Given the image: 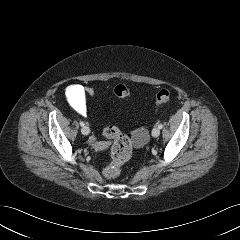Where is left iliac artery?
Returning a JSON list of instances; mask_svg holds the SVG:
<instances>
[{
    "label": "left iliac artery",
    "mask_w": 240,
    "mask_h": 240,
    "mask_svg": "<svg viewBox=\"0 0 240 240\" xmlns=\"http://www.w3.org/2000/svg\"><path fill=\"white\" fill-rule=\"evenodd\" d=\"M158 128L159 129H162L163 128V125L160 123V124H158Z\"/></svg>",
    "instance_id": "obj_1"
}]
</instances>
